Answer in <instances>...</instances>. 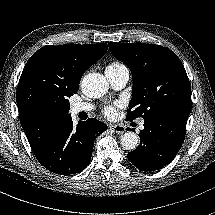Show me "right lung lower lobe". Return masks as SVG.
<instances>
[{
	"instance_id": "obj_1",
	"label": "right lung lower lobe",
	"mask_w": 215,
	"mask_h": 215,
	"mask_svg": "<svg viewBox=\"0 0 215 215\" xmlns=\"http://www.w3.org/2000/svg\"><path fill=\"white\" fill-rule=\"evenodd\" d=\"M107 126L91 118L73 128L67 117L47 135L34 155L46 169L61 175L80 173L90 163L96 137Z\"/></svg>"
}]
</instances>
